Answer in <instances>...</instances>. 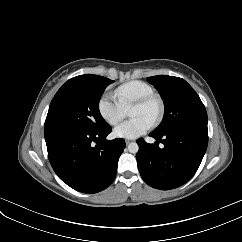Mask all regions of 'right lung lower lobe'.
Instances as JSON below:
<instances>
[{
    "label": "right lung lower lobe",
    "mask_w": 242,
    "mask_h": 242,
    "mask_svg": "<svg viewBox=\"0 0 242 242\" xmlns=\"http://www.w3.org/2000/svg\"><path fill=\"white\" fill-rule=\"evenodd\" d=\"M111 130L110 126L102 131L78 126L46 130L48 158L58 177L71 188L88 194L111 185L125 148L122 138L106 140Z\"/></svg>",
    "instance_id": "obj_1"
}]
</instances>
